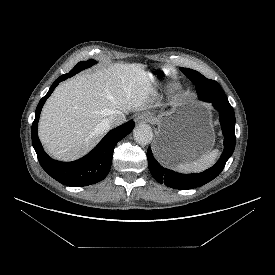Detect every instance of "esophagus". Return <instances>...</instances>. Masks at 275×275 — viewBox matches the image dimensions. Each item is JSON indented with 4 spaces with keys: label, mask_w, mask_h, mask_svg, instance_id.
Returning a JSON list of instances; mask_svg holds the SVG:
<instances>
[{
    "label": "esophagus",
    "mask_w": 275,
    "mask_h": 275,
    "mask_svg": "<svg viewBox=\"0 0 275 275\" xmlns=\"http://www.w3.org/2000/svg\"><path fill=\"white\" fill-rule=\"evenodd\" d=\"M135 121L138 123H149L152 121V116L147 113H142L135 118Z\"/></svg>",
    "instance_id": "esophagus-1"
}]
</instances>
